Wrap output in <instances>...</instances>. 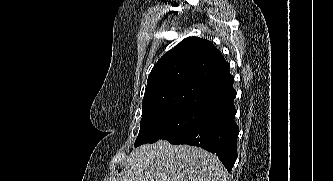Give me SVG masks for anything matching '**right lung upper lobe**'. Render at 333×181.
<instances>
[{
	"mask_svg": "<svg viewBox=\"0 0 333 181\" xmlns=\"http://www.w3.org/2000/svg\"><path fill=\"white\" fill-rule=\"evenodd\" d=\"M229 64L210 41L189 37L164 54L148 77L143 110L165 105L207 109L235 98Z\"/></svg>",
	"mask_w": 333,
	"mask_h": 181,
	"instance_id": "cb5924a9",
	"label": "right lung upper lobe"
}]
</instances>
